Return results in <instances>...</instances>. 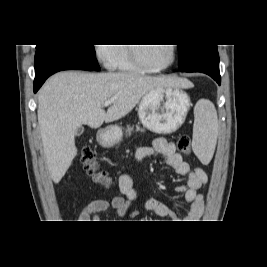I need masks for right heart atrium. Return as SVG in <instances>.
<instances>
[{
    "instance_id": "obj_1",
    "label": "right heart atrium",
    "mask_w": 267,
    "mask_h": 267,
    "mask_svg": "<svg viewBox=\"0 0 267 267\" xmlns=\"http://www.w3.org/2000/svg\"><path fill=\"white\" fill-rule=\"evenodd\" d=\"M95 55L103 65L111 69L113 68V61L115 56V46L108 43H101L95 45Z\"/></svg>"
}]
</instances>
